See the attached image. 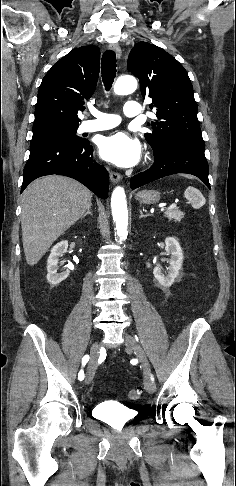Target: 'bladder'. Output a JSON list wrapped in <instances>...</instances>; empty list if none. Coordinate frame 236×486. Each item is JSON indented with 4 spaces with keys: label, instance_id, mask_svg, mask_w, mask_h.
I'll list each match as a JSON object with an SVG mask.
<instances>
[{
    "label": "bladder",
    "instance_id": "31cf9c89",
    "mask_svg": "<svg viewBox=\"0 0 236 486\" xmlns=\"http://www.w3.org/2000/svg\"><path fill=\"white\" fill-rule=\"evenodd\" d=\"M93 410L98 419L114 425H124L136 417L134 411L111 401L99 402Z\"/></svg>",
    "mask_w": 236,
    "mask_h": 486
}]
</instances>
